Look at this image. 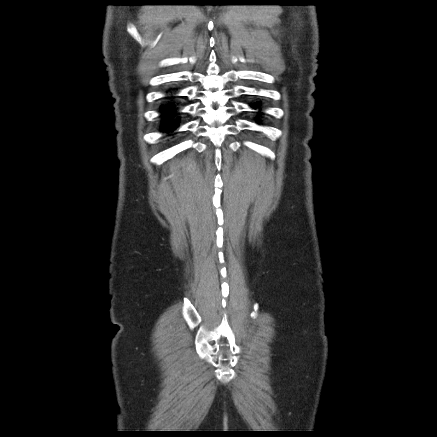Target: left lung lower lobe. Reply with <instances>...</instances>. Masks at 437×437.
I'll use <instances>...</instances> for the list:
<instances>
[{
	"label": "left lung lower lobe",
	"instance_id": "left-lung-lower-lobe-1",
	"mask_svg": "<svg viewBox=\"0 0 437 437\" xmlns=\"http://www.w3.org/2000/svg\"><path fill=\"white\" fill-rule=\"evenodd\" d=\"M250 105H251L252 108L257 109V108H260L261 103L256 102V103H252V104H250Z\"/></svg>",
	"mask_w": 437,
	"mask_h": 437
}]
</instances>
